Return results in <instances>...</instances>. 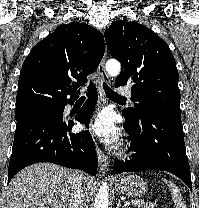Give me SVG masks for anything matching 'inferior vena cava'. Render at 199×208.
Wrapping results in <instances>:
<instances>
[{"mask_svg":"<svg viewBox=\"0 0 199 208\" xmlns=\"http://www.w3.org/2000/svg\"><path fill=\"white\" fill-rule=\"evenodd\" d=\"M84 179L85 176L82 172H75L74 184L69 201V208H87L84 193Z\"/></svg>","mask_w":199,"mask_h":208,"instance_id":"1","label":"inferior vena cava"}]
</instances>
